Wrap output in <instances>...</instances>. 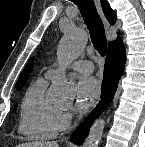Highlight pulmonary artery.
Masks as SVG:
<instances>
[{
	"label": "pulmonary artery",
	"instance_id": "obj_1",
	"mask_svg": "<svg viewBox=\"0 0 145 147\" xmlns=\"http://www.w3.org/2000/svg\"><path fill=\"white\" fill-rule=\"evenodd\" d=\"M69 68L76 70V71L83 73V74H90L94 70L92 62H90L88 60H77V61L73 62L72 64H70ZM53 74H54V70L49 69L46 72L45 76L50 78L53 76Z\"/></svg>",
	"mask_w": 145,
	"mask_h": 147
}]
</instances>
